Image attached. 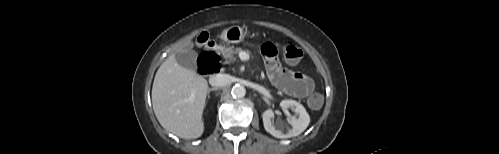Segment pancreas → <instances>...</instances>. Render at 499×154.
<instances>
[{"label":"pancreas","instance_id":"obj_1","mask_svg":"<svg viewBox=\"0 0 499 154\" xmlns=\"http://www.w3.org/2000/svg\"><path fill=\"white\" fill-rule=\"evenodd\" d=\"M240 51H242L241 48H230V47H222L221 52L224 56V58L227 60V63H232L234 62V55L238 54Z\"/></svg>","mask_w":499,"mask_h":154}]
</instances>
